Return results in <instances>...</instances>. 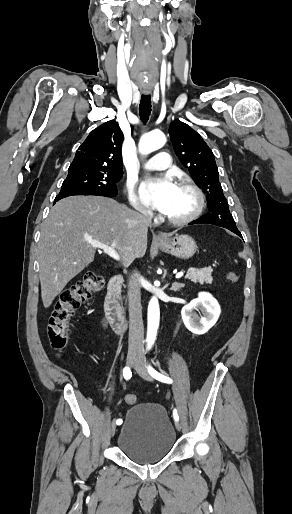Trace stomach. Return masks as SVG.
Here are the masks:
<instances>
[{
	"instance_id": "stomach-1",
	"label": "stomach",
	"mask_w": 292,
	"mask_h": 514,
	"mask_svg": "<svg viewBox=\"0 0 292 514\" xmlns=\"http://www.w3.org/2000/svg\"><path fill=\"white\" fill-rule=\"evenodd\" d=\"M157 244L163 252L176 256V258H181V260H188V258L194 256L197 250L195 240L191 236H186V234L175 236V238H168L165 242H157Z\"/></svg>"
}]
</instances>
